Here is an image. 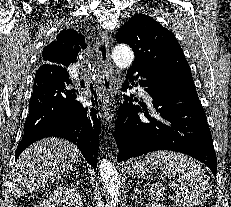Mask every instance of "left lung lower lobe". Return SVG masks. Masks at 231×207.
<instances>
[{
    "label": "left lung lower lobe",
    "instance_id": "0a47b994",
    "mask_svg": "<svg viewBox=\"0 0 231 207\" xmlns=\"http://www.w3.org/2000/svg\"><path fill=\"white\" fill-rule=\"evenodd\" d=\"M153 98L156 113L142 112L129 102L120 106L115 123V140L119 149L118 162L155 150H172L188 154L206 164L216 176L217 159L204 109L194 84L171 88V79L148 67H131L123 89L135 77ZM134 82L132 83V85Z\"/></svg>",
    "mask_w": 231,
    "mask_h": 207
}]
</instances>
